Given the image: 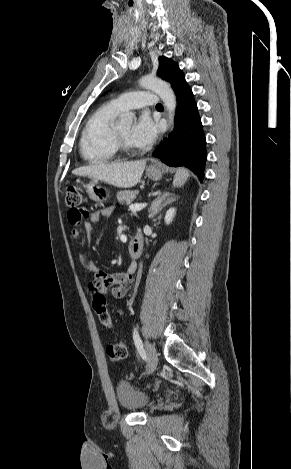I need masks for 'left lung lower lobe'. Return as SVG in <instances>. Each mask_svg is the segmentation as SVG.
<instances>
[{
	"instance_id": "1",
	"label": "left lung lower lobe",
	"mask_w": 291,
	"mask_h": 469,
	"mask_svg": "<svg viewBox=\"0 0 291 469\" xmlns=\"http://www.w3.org/2000/svg\"><path fill=\"white\" fill-rule=\"evenodd\" d=\"M172 88L177 99L175 128L169 138L164 139L157 147L153 155L169 166L189 168L202 182L207 153L197 103L184 74L177 79Z\"/></svg>"
}]
</instances>
